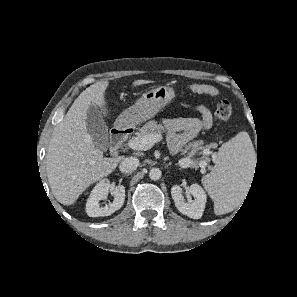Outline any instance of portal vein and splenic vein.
Here are the masks:
<instances>
[{
    "label": "portal vein and splenic vein",
    "instance_id": "portal-vein-and-splenic-vein-1",
    "mask_svg": "<svg viewBox=\"0 0 297 297\" xmlns=\"http://www.w3.org/2000/svg\"><path fill=\"white\" fill-rule=\"evenodd\" d=\"M160 140H161V136L158 134H147L145 136H138L130 139L128 142V145L133 150L146 151L150 149L155 143L159 142ZM181 162L188 163V164L192 163L191 161H187V160H181ZM202 168H204L203 165H202Z\"/></svg>",
    "mask_w": 297,
    "mask_h": 297
}]
</instances>
